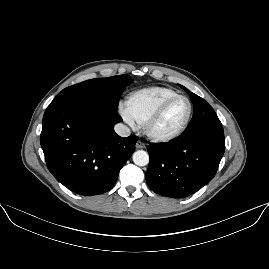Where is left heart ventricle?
Returning a JSON list of instances; mask_svg holds the SVG:
<instances>
[{
    "instance_id": "b2bd125f",
    "label": "left heart ventricle",
    "mask_w": 269,
    "mask_h": 269,
    "mask_svg": "<svg viewBox=\"0 0 269 269\" xmlns=\"http://www.w3.org/2000/svg\"><path fill=\"white\" fill-rule=\"evenodd\" d=\"M188 111V103L184 99L174 101L163 116L153 126L158 135H170L176 132L183 124Z\"/></svg>"
}]
</instances>
